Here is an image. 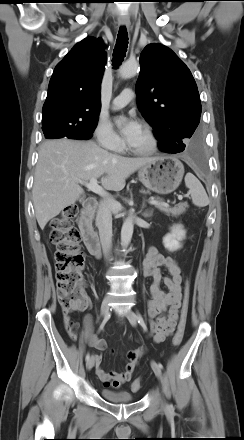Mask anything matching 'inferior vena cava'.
<instances>
[{
	"instance_id": "obj_1",
	"label": "inferior vena cava",
	"mask_w": 244,
	"mask_h": 440,
	"mask_svg": "<svg viewBox=\"0 0 244 440\" xmlns=\"http://www.w3.org/2000/svg\"><path fill=\"white\" fill-rule=\"evenodd\" d=\"M96 225L99 229L100 242L105 257H108L112 244V214L110 210V201L102 200L99 203Z\"/></svg>"
}]
</instances>
